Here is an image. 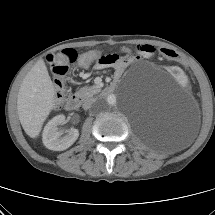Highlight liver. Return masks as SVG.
<instances>
[{
	"mask_svg": "<svg viewBox=\"0 0 215 215\" xmlns=\"http://www.w3.org/2000/svg\"><path fill=\"white\" fill-rule=\"evenodd\" d=\"M55 107V88L43 60L23 79L17 96V112L25 133L36 138Z\"/></svg>",
	"mask_w": 215,
	"mask_h": 215,
	"instance_id": "obj_1",
	"label": "liver"
}]
</instances>
